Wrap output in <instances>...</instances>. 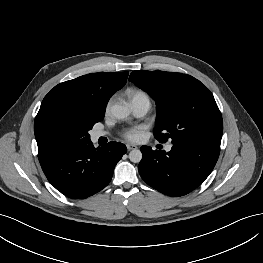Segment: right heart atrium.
Segmentation results:
<instances>
[{"mask_svg":"<svg viewBox=\"0 0 263 263\" xmlns=\"http://www.w3.org/2000/svg\"><path fill=\"white\" fill-rule=\"evenodd\" d=\"M112 100H108V102L105 105V112L108 113L111 107Z\"/></svg>","mask_w":263,"mask_h":263,"instance_id":"1","label":"right heart atrium"}]
</instances>
